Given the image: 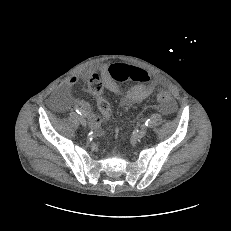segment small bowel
<instances>
[{"instance_id":"1","label":"small bowel","mask_w":231,"mask_h":231,"mask_svg":"<svg viewBox=\"0 0 231 231\" xmlns=\"http://www.w3.org/2000/svg\"><path fill=\"white\" fill-rule=\"evenodd\" d=\"M95 79H100L103 85L108 90L119 95L121 104L123 106H130L143 101L144 99L149 97L160 85L159 79L157 78L150 79L148 76L147 81L139 82L129 89H122L109 76L107 65H101L97 70H90L84 74V80L87 83V86L90 91H91L90 84ZM78 82H79V78L77 76H71L64 81L63 86L67 88H71L75 86ZM77 103L89 117L91 128L96 132H100L101 119L91 112L88 102H86L83 99H78ZM173 110H174V104H169L167 107L163 109V111L167 114L171 113Z\"/></svg>"}]
</instances>
